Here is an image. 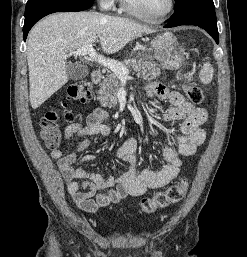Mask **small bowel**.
Returning <instances> with one entry per match:
<instances>
[{
	"label": "small bowel",
	"mask_w": 247,
	"mask_h": 257,
	"mask_svg": "<svg viewBox=\"0 0 247 257\" xmlns=\"http://www.w3.org/2000/svg\"><path fill=\"white\" fill-rule=\"evenodd\" d=\"M146 95L167 100L170 108L162 114L161 120L165 123H180L178 130H168L160 127L166 133L172 145L162 149V156L166 164L159 170L136 169L137 140L127 139L117 150V158L129 164V169L120 177H104L100 173L89 172L80 166L75 167L79 153L86 150L92 143L86 139L79 142L71 153L66 154L61 149H54L51 158L56 161L58 169L67 184V191L79 208L95 213L100 207L118 203L126 196H141L150 189L166 186L174 180L180 172L183 158L195 154L197 148L206 139V133L201 125L207 118L203 108L196 107L185 100L184 96L176 91L168 90L160 83H152L145 87ZM108 113L104 109H95L91 112L85 124L72 123L65 128L66 140L83 136H108L110 128L105 124ZM95 160L93 155H85L80 163Z\"/></svg>",
	"instance_id": "obj_1"
}]
</instances>
